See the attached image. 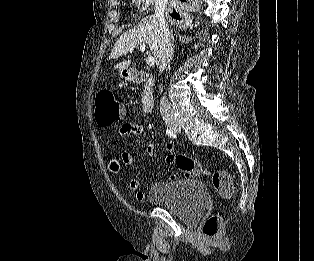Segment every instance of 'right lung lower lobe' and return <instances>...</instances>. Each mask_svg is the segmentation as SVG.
<instances>
[{
    "label": "right lung lower lobe",
    "instance_id": "right-lung-lower-lobe-1",
    "mask_svg": "<svg viewBox=\"0 0 314 261\" xmlns=\"http://www.w3.org/2000/svg\"><path fill=\"white\" fill-rule=\"evenodd\" d=\"M181 1H186V0H181ZM171 16H172L173 18L177 19V20L180 18L179 14L176 13V12H174L173 14H171Z\"/></svg>",
    "mask_w": 314,
    "mask_h": 261
}]
</instances>
